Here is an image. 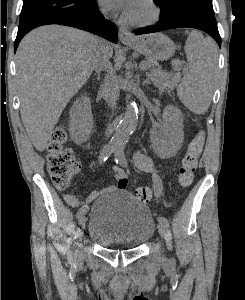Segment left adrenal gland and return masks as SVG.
I'll list each match as a JSON object with an SVG mask.
<instances>
[{"label": "left adrenal gland", "instance_id": "obj_1", "mask_svg": "<svg viewBox=\"0 0 245 300\" xmlns=\"http://www.w3.org/2000/svg\"><path fill=\"white\" fill-rule=\"evenodd\" d=\"M150 82H149V79H145V80H143V82H142V86L144 87V86H146V85H148Z\"/></svg>", "mask_w": 245, "mask_h": 300}]
</instances>
